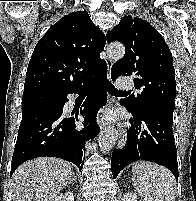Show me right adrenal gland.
Returning <instances> with one entry per match:
<instances>
[{
  "mask_svg": "<svg viewBox=\"0 0 196 201\" xmlns=\"http://www.w3.org/2000/svg\"><path fill=\"white\" fill-rule=\"evenodd\" d=\"M77 181V177L75 176V174H73L72 179L69 181V185L74 184Z\"/></svg>",
  "mask_w": 196,
  "mask_h": 201,
  "instance_id": "2a0ac1e0",
  "label": "right adrenal gland"
}]
</instances>
